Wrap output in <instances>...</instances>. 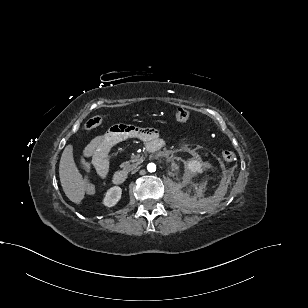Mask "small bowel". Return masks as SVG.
Here are the masks:
<instances>
[{
	"label": "small bowel",
	"mask_w": 308,
	"mask_h": 308,
	"mask_svg": "<svg viewBox=\"0 0 308 308\" xmlns=\"http://www.w3.org/2000/svg\"><path fill=\"white\" fill-rule=\"evenodd\" d=\"M128 138H138L146 143L159 139L154 128H142L132 125H115L107 132L92 139L83 152L82 165L84 169H93L104 178L109 173L108 155L111 148Z\"/></svg>",
	"instance_id": "obj_1"
}]
</instances>
